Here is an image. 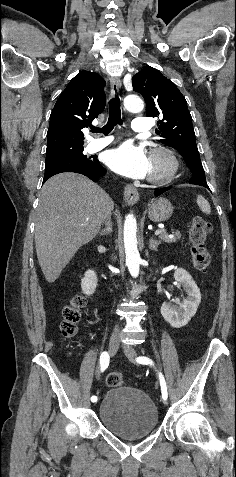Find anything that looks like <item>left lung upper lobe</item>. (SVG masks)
Masks as SVG:
<instances>
[{"label": "left lung upper lobe", "mask_w": 236, "mask_h": 477, "mask_svg": "<svg viewBox=\"0 0 236 477\" xmlns=\"http://www.w3.org/2000/svg\"><path fill=\"white\" fill-rule=\"evenodd\" d=\"M133 90L146 102L147 117H158L161 143L177 150L192 173L190 184H207L205 172L196 147L192 117L185 97L172 81L153 67L146 66L132 78Z\"/></svg>", "instance_id": "5c2ea615"}]
</instances>
